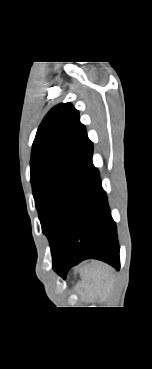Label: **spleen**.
Listing matches in <instances>:
<instances>
[{
  "mask_svg": "<svg viewBox=\"0 0 152 369\" xmlns=\"http://www.w3.org/2000/svg\"><path fill=\"white\" fill-rule=\"evenodd\" d=\"M81 277L82 283L78 288L87 295L89 301L104 298L114 281L111 268L101 262L88 265Z\"/></svg>",
  "mask_w": 152,
  "mask_h": 369,
  "instance_id": "obj_1",
  "label": "spleen"
}]
</instances>
